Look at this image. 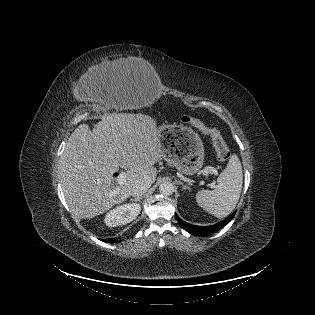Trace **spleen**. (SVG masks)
Returning a JSON list of instances; mask_svg holds the SVG:
<instances>
[{"instance_id":"1","label":"spleen","mask_w":315,"mask_h":315,"mask_svg":"<svg viewBox=\"0 0 315 315\" xmlns=\"http://www.w3.org/2000/svg\"><path fill=\"white\" fill-rule=\"evenodd\" d=\"M243 184L242 165L237 155H232L227 167L217 178L214 190H201L196 194L198 205L221 219L228 216L239 201Z\"/></svg>"}]
</instances>
